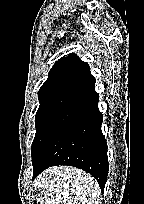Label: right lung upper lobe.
Instances as JSON below:
<instances>
[{"mask_svg":"<svg viewBox=\"0 0 144 204\" xmlns=\"http://www.w3.org/2000/svg\"><path fill=\"white\" fill-rule=\"evenodd\" d=\"M92 89H95V78L88 64L72 53L54 64L38 92V98L40 103L60 96L77 98Z\"/></svg>","mask_w":144,"mask_h":204,"instance_id":"1","label":"right lung upper lobe"}]
</instances>
